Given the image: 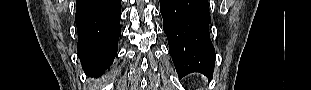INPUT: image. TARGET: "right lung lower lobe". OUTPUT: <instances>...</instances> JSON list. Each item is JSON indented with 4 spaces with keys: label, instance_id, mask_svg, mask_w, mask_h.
<instances>
[{
    "label": "right lung lower lobe",
    "instance_id": "obj_1",
    "mask_svg": "<svg viewBox=\"0 0 311 90\" xmlns=\"http://www.w3.org/2000/svg\"><path fill=\"white\" fill-rule=\"evenodd\" d=\"M121 0H76L78 55L86 75L101 76L112 64L121 34Z\"/></svg>",
    "mask_w": 311,
    "mask_h": 90
}]
</instances>
